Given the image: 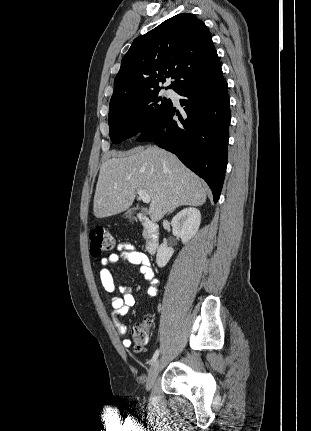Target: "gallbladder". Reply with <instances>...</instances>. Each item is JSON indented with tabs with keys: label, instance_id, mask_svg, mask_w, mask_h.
I'll use <instances>...</instances> for the list:
<instances>
[{
	"label": "gallbladder",
	"instance_id": "1",
	"mask_svg": "<svg viewBox=\"0 0 311 431\" xmlns=\"http://www.w3.org/2000/svg\"><path fill=\"white\" fill-rule=\"evenodd\" d=\"M136 210H141V212H143V214H146L145 208H131V210H128V212H126V214H124V216L125 217H131V216H133L134 212H136Z\"/></svg>",
	"mask_w": 311,
	"mask_h": 431
}]
</instances>
